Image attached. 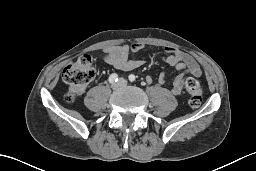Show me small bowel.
I'll list each match as a JSON object with an SVG mask.
<instances>
[{
  "mask_svg": "<svg viewBox=\"0 0 256 171\" xmlns=\"http://www.w3.org/2000/svg\"><path fill=\"white\" fill-rule=\"evenodd\" d=\"M144 48L145 44L139 42L132 45L111 46L105 50L104 60L116 69L123 71L134 70L140 67L144 61L131 58L130 53L139 52ZM164 51L167 55L161 58L162 61L169 68L182 71V73L175 78L172 88L170 89L173 95H179L183 91L186 77H200L202 71L195 59L188 53L170 46L164 47ZM165 76L166 71L160 73L158 77L159 84L166 82Z\"/></svg>",
  "mask_w": 256,
  "mask_h": 171,
  "instance_id": "c3829d8e",
  "label": "small bowel"
}]
</instances>
